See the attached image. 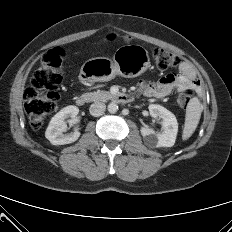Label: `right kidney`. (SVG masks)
Segmentation results:
<instances>
[{"label": "right kidney", "instance_id": "obj_1", "mask_svg": "<svg viewBox=\"0 0 232 232\" xmlns=\"http://www.w3.org/2000/svg\"><path fill=\"white\" fill-rule=\"evenodd\" d=\"M79 113V109L76 106H67L60 110L50 121L46 132L45 137L53 145H64L75 142L80 137V132L75 130L70 134H64L66 130V121L65 119L71 117L74 118Z\"/></svg>", "mask_w": 232, "mask_h": 232}]
</instances>
